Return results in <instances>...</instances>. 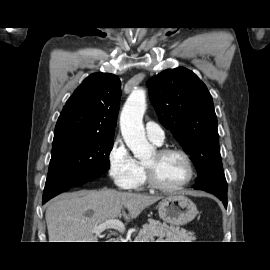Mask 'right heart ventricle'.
<instances>
[{"label": "right heart ventricle", "mask_w": 270, "mask_h": 270, "mask_svg": "<svg viewBox=\"0 0 270 270\" xmlns=\"http://www.w3.org/2000/svg\"><path fill=\"white\" fill-rule=\"evenodd\" d=\"M139 168H140V173H139L138 179H137L135 187H134V188H137V189L143 188L145 183H146L143 165L139 164Z\"/></svg>", "instance_id": "obj_1"}]
</instances>
